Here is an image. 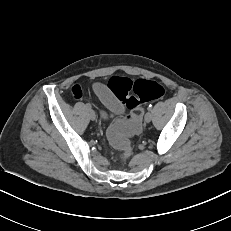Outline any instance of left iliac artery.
Masks as SVG:
<instances>
[{
	"mask_svg": "<svg viewBox=\"0 0 231 231\" xmlns=\"http://www.w3.org/2000/svg\"><path fill=\"white\" fill-rule=\"evenodd\" d=\"M148 110H149V111L152 110V104H150V105L148 106Z\"/></svg>",
	"mask_w": 231,
	"mask_h": 231,
	"instance_id": "1",
	"label": "left iliac artery"
}]
</instances>
